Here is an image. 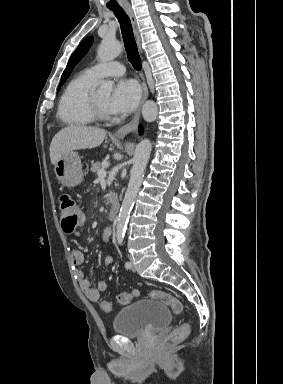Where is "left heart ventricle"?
<instances>
[{
    "mask_svg": "<svg viewBox=\"0 0 283 384\" xmlns=\"http://www.w3.org/2000/svg\"><path fill=\"white\" fill-rule=\"evenodd\" d=\"M94 99L100 106L101 110L109 116H112V113L108 109V101H109V93H104V94H96L93 95Z\"/></svg>",
    "mask_w": 283,
    "mask_h": 384,
    "instance_id": "obj_1",
    "label": "left heart ventricle"
}]
</instances>
